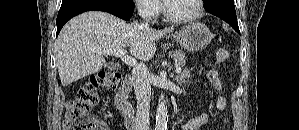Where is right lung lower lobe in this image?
<instances>
[{
  "label": "right lung lower lobe",
  "instance_id": "98d812e1",
  "mask_svg": "<svg viewBox=\"0 0 299 130\" xmlns=\"http://www.w3.org/2000/svg\"><path fill=\"white\" fill-rule=\"evenodd\" d=\"M92 10L105 11L129 20L133 15L134 5L133 0H63L56 20V36L72 17Z\"/></svg>",
  "mask_w": 299,
  "mask_h": 130
}]
</instances>
